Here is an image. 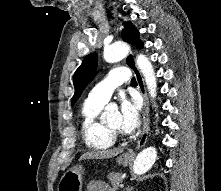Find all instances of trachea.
<instances>
[{"instance_id":"1","label":"trachea","mask_w":221,"mask_h":191,"mask_svg":"<svg viewBox=\"0 0 221 191\" xmlns=\"http://www.w3.org/2000/svg\"><path fill=\"white\" fill-rule=\"evenodd\" d=\"M131 83H132V84H136V79H135V77H133V78L131 79Z\"/></svg>"}]
</instances>
